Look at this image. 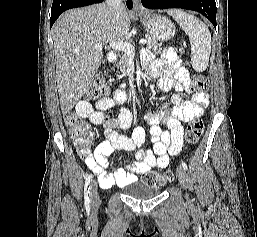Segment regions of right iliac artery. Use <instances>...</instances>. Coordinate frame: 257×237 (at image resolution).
Returning <instances> with one entry per match:
<instances>
[{"label":"right iliac artery","instance_id":"obj_1","mask_svg":"<svg viewBox=\"0 0 257 237\" xmlns=\"http://www.w3.org/2000/svg\"><path fill=\"white\" fill-rule=\"evenodd\" d=\"M92 179V175H88L85 181V186H84V199H85V205L89 206L90 204V182Z\"/></svg>","mask_w":257,"mask_h":237}]
</instances>
